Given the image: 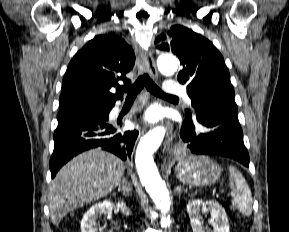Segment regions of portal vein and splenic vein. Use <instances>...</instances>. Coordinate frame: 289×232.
Returning <instances> with one entry per match:
<instances>
[{
    "mask_svg": "<svg viewBox=\"0 0 289 232\" xmlns=\"http://www.w3.org/2000/svg\"><path fill=\"white\" fill-rule=\"evenodd\" d=\"M228 196L235 197V193L230 192V193H228Z\"/></svg>",
    "mask_w": 289,
    "mask_h": 232,
    "instance_id": "1",
    "label": "portal vein and splenic vein"
}]
</instances>
